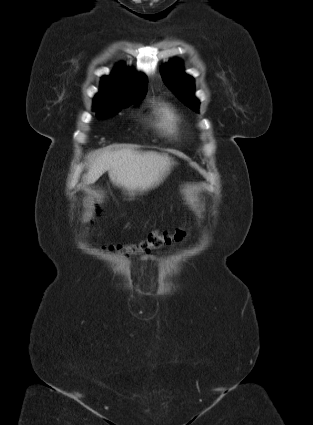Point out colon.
Segmentation results:
<instances>
[{
    "label": "colon",
    "mask_w": 313,
    "mask_h": 425,
    "mask_svg": "<svg viewBox=\"0 0 313 425\" xmlns=\"http://www.w3.org/2000/svg\"><path fill=\"white\" fill-rule=\"evenodd\" d=\"M96 211L98 212L99 209H96ZM184 235L185 232L180 229L174 232L153 231L147 236L145 240L141 241L138 244L111 245L109 246V249L112 251L120 252L125 255L132 253L149 254L150 252L161 249L162 247L170 245L175 241H179L184 237Z\"/></svg>",
    "instance_id": "colon-1"
}]
</instances>
